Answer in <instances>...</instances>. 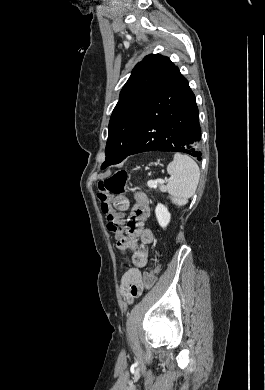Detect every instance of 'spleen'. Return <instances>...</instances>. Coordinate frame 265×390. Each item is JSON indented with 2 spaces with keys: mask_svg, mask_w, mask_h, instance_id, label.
<instances>
[{
  "mask_svg": "<svg viewBox=\"0 0 265 390\" xmlns=\"http://www.w3.org/2000/svg\"><path fill=\"white\" fill-rule=\"evenodd\" d=\"M167 173L172 180L166 186L170 199L177 206H183L196 191L200 170L196 162L189 156L175 154L167 166Z\"/></svg>",
  "mask_w": 265,
  "mask_h": 390,
  "instance_id": "spleen-1",
  "label": "spleen"
}]
</instances>
